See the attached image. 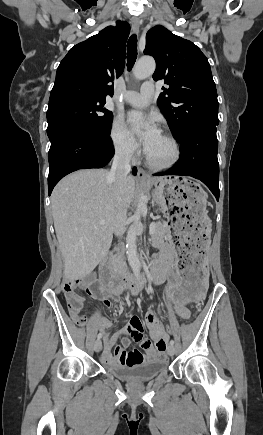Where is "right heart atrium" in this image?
Here are the masks:
<instances>
[{"label":"right heart atrium","mask_w":263,"mask_h":435,"mask_svg":"<svg viewBox=\"0 0 263 435\" xmlns=\"http://www.w3.org/2000/svg\"><path fill=\"white\" fill-rule=\"evenodd\" d=\"M109 139L115 154L123 160H134L139 152L135 141L129 136L124 125L114 120L109 131Z\"/></svg>","instance_id":"obj_1"}]
</instances>
